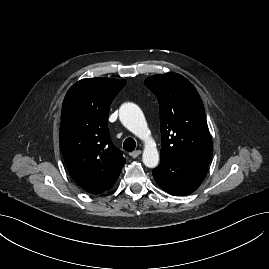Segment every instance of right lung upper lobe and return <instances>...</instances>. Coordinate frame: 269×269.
<instances>
[{
    "label": "right lung upper lobe",
    "instance_id": "obj_1",
    "mask_svg": "<svg viewBox=\"0 0 269 269\" xmlns=\"http://www.w3.org/2000/svg\"><path fill=\"white\" fill-rule=\"evenodd\" d=\"M125 84L126 80L105 77L82 79L63 101L61 152L75 182L88 192L110 188L125 163L107 126L110 105Z\"/></svg>",
    "mask_w": 269,
    "mask_h": 269
}]
</instances>
